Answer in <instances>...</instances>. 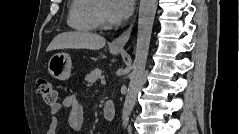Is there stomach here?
Wrapping results in <instances>:
<instances>
[{
    "mask_svg": "<svg viewBox=\"0 0 239 134\" xmlns=\"http://www.w3.org/2000/svg\"><path fill=\"white\" fill-rule=\"evenodd\" d=\"M112 54H118L121 49L110 48ZM71 58L67 53H56L48 62V71L58 80H67L71 74Z\"/></svg>",
    "mask_w": 239,
    "mask_h": 134,
    "instance_id": "obj_1",
    "label": "stomach"
}]
</instances>
